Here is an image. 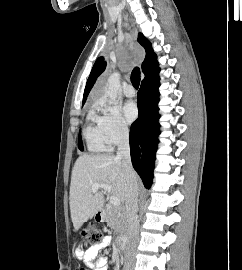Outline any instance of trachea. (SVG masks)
<instances>
[{"instance_id": "3493384b", "label": "trachea", "mask_w": 242, "mask_h": 270, "mask_svg": "<svg viewBox=\"0 0 242 270\" xmlns=\"http://www.w3.org/2000/svg\"><path fill=\"white\" fill-rule=\"evenodd\" d=\"M131 83L136 89H138L140 84V69L138 67L134 68L131 73Z\"/></svg>"}]
</instances>
